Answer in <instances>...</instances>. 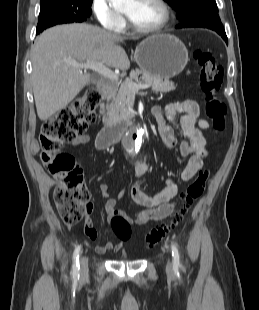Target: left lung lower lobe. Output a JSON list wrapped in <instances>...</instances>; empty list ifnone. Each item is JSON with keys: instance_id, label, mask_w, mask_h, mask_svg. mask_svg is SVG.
Listing matches in <instances>:
<instances>
[{"instance_id": "0a47b994", "label": "left lung lower lobe", "mask_w": 259, "mask_h": 310, "mask_svg": "<svg viewBox=\"0 0 259 310\" xmlns=\"http://www.w3.org/2000/svg\"><path fill=\"white\" fill-rule=\"evenodd\" d=\"M186 27H197V26H186ZM178 28H182V27H178ZM215 32H217L219 35H221V37L224 39V41L226 43H228V39L225 33V30H214Z\"/></svg>"}]
</instances>
